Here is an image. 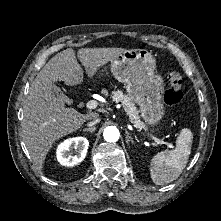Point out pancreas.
<instances>
[{"mask_svg":"<svg viewBox=\"0 0 221 221\" xmlns=\"http://www.w3.org/2000/svg\"><path fill=\"white\" fill-rule=\"evenodd\" d=\"M111 97L113 101L120 102L122 104L125 112L136 128L142 129L145 127L144 123L140 120V116L138 115L139 111L130 96L124 94L121 90H116L112 92Z\"/></svg>","mask_w":221,"mask_h":221,"instance_id":"cf45deb5","label":"pancreas"}]
</instances>
